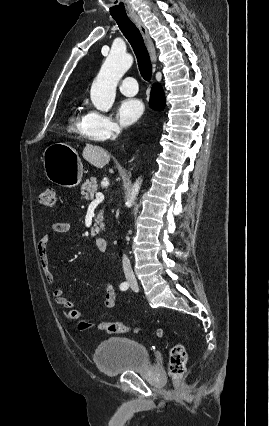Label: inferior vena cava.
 <instances>
[{
	"mask_svg": "<svg viewBox=\"0 0 269 426\" xmlns=\"http://www.w3.org/2000/svg\"><path fill=\"white\" fill-rule=\"evenodd\" d=\"M112 138L115 139L116 135L113 134ZM123 269H124V273L125 275H131L132 274V270H131V266H130V261L128 259V257L126 255L123 256Z\"/></svg>",
	"mask_w": 269,
	"mask_h": 426,
	"instance_id": "obj_1",
	"label": "inferior vena cava"
}]
</instances>
